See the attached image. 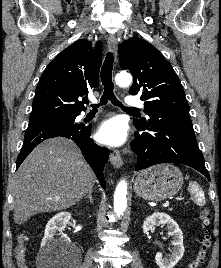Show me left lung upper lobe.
<instances>
[{
    "mask_svg": "<svg viewBox=\"0 0 221 268\" xmlns=\"http://www.w3.org/2000/svg\"><path fill=\"white\" fill-rule=\"evenodd\" d=\"M120 66L132 72L131 95L140 94L144 111L189 113V105L181 82L171 64L149 42L130 38L119 46ZM145 119L134 120L142 123Z\"/></svg>",
    "mask_w": 221,
    "mask_h": 268,
    "instance_id": "left-lung-upper-lobe-1",
    "label": "left lung upper lobe"
}]
</instances>
